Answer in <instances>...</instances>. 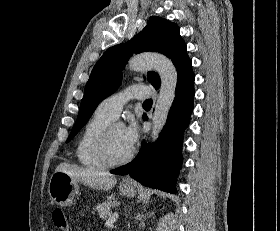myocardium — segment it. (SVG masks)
<instances>
[{
	"instance_id": "obj_1",
	"label": "myocardium",
	"mask_w": 280,
	"mask_h": 231,
	"mask_svg": "<svg viewBox=\"0 0 280 231\" xmlns=\"http://www.w3.org/2000/svg\"><path fill=\"white\" fill-rule=\"evenodd\" d=\"M117 124L115 122H110L102 130L96 145V155L97 157L108 167H119L128 163L132 158V153H128L122 159H113L109 152V135L112 127Z\"/></svg>"
}]
</instances>
